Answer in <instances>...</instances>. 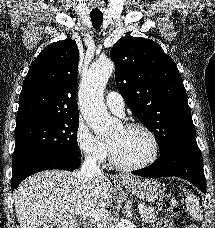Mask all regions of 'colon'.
<instances>
[{"mask_svg": "<svg viewBox=\"0 0 215 228\" xmlns=\"http://www.w3.org/2000/svg\"><path fill=\"white\" fill-rule=\"evenodd\" d=\"M177 204L170 194L163 195L158 201V211L162 214H173L177 211ZM159 228H175L174 221L170 218H161ZM187 228H198V225H187Z\"/></svg>", "mask_w": 215, "mask_h": 228, "instance_id": "colon-1", "label": "colon"}]
</instances>
